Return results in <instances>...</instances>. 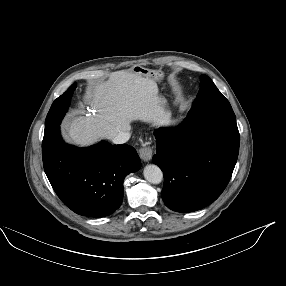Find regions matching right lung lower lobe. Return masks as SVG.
Returning a JSON list of instances; mask_svg holds the SVG:
<instances>
[{
    "label": "right lung lower lobe",
    "mask_w": 286,
    "mask_h": 286,
    "mask_svg": "<svg viewBox=\"0 0 286 286\" xmlns=\"http://www.w3.org/2000/svg\"><path fill=\"white\" fill-rule=\"evenodd\" d=\"M45 173L58 197L79 215L100 218L122 203L123 180L141 167L136 150L102 141L88 148L66 144L59 126L44 132Z\"/></svg>",
    "instance_id": "right-lung-lower-lobe-1"
}]
</instances>
